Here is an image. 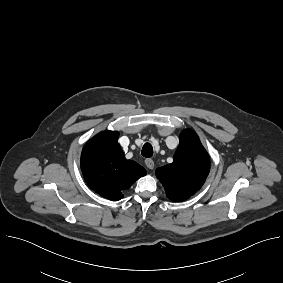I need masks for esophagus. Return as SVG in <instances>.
Here are the masks:
<instances>
[{"mask_svg":"<svg viewBox=\"0 0 283 283\" xmlns=\"http://www.w3.org/2000/svg\"><path fill=\"white\" fill-rule=\"evenodd\" d=\"M145 165L147 166L148 169H153L154 168V161L152 159H146Z\"/></svg>","mask_w":283,"mask_h":283,"instance_id":"esophagus-1","label":"esophagus"}]
</instances>
